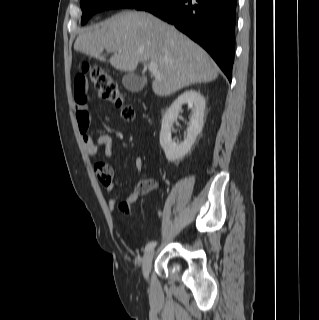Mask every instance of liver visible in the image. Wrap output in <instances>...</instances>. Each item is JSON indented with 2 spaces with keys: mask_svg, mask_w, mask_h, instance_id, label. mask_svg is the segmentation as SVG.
Listing matches in <instances>:
<instances>
[{
  "mask_svg": "<svg viewBox=\"0 0 319 320\" xmlns=\"http://www.w3.org/2000/svg\"><path fill=\"white\" fill-rule=\"evenodd\" d=\"M74 50L131 73L141 62H155L161 78L155 77L153 92L169 96L195 83L218 77V68L208 54L187 36L146 12L125 11L80 31Z\"/></svg>",
  "mask_w": 319,
  "mask_h": 320,
  "instance_id": "obj_1",
  "label": "liver"
}]
</instances>
